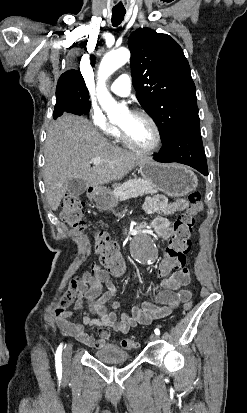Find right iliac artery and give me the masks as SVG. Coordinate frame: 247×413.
Segmentation results:
<instances>
[{"label": "right iliac artery", "instance_id": "82829eb1", "mask_svg": "<svg viewBox=\"0 0 247 413\" xmlns=\"http://www.w3.org/2000/svg\"><path fill=\"white\" fill-rule=\"evenodd\" d=\"M62 348L63 344H60L59 347L57 348L56 354H55V366H56V373L59 378L62 376Z\"/></svg>", "mask_w": 247, "mask_h": 413}]
</instances>
